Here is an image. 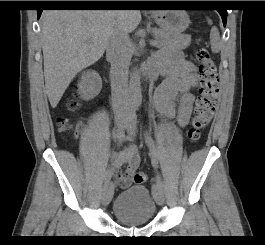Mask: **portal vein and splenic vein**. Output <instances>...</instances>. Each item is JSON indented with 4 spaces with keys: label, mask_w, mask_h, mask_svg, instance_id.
Returning <instances> with one entry per match:
<instances>
[{
    "label": "portal vein and splenic vein",
    "mask_w": 265,
    "mask_h": 245,
    "mask_svg": "<svg viewBox=\"0 0 265 245\" xmlns=\"http://www.w3.org/2000/svg\"><path fill=\"white\" fill-rule=\"evenodd\" d=\"M157 43H158L157 41H152L151 44H152V45H157Z\"/></svg>",
    "instance_id": "1"
}]
</instances>
